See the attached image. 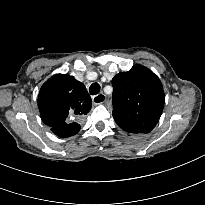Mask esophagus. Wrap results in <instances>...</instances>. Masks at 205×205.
I'll use <instances>...</instances> for the list:
<instances>
[{
    "label": "esophagus",
    "instance_id": "34e87169",
    "mask_svg": "<svg viewBox=\"0 0 205 205\" xmlns=\"http://www.w3.org/2000/svg\"><path fill=\"white\" fill-rule=\"evenodd\" d=\"M106 99V96L103 93L97 94L92 97V101L94 104H102Z\"/></svg>",
    "mask_w": 205,
    "mask_h": 205
}]
</instances>
